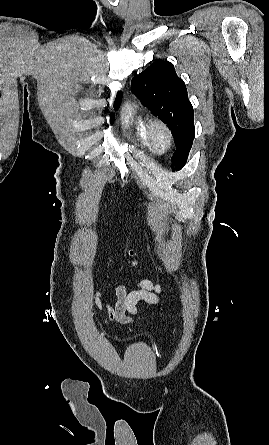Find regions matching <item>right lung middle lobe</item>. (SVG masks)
Instances as JSON below:
<instances>
[{
	"label": "right lung middle lobe",
	"mask_w": 269,
	"mask_h": 445,
	"mask_svg": "<svg viewBox=\"0 0 269 445\" xmlns=\"http://www.w3.org/2000/svg\"><path fill=\"white\" fill-rule=\"evenodd\" d=\"M120 103H121V100L118 102V103H116L115 105H114V109H118V107L120 106ZM113 121H114V116H113V114L111 115V123H113Z\"/></svg>",
	"instance_id": "right-lung-middle-lobe-1"
}]
</instances>
